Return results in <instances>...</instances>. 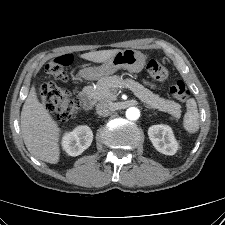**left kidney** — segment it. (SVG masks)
<instances>
[{"mask_svg":"<svg viewBox=\"0 0 225 225\" xmlns=\"http://www.w3.org/2000/svg\"><path fill=\"white\" fill-rule=\"evenodd\" d=\"M148 136L157 151L165 155H174L178 149L172 129L168 125H153Z\"/></svg>","mask_w":225,"mask_h":225,"instance_id":"obj_1","label":"left kidney"}]
</instances>
